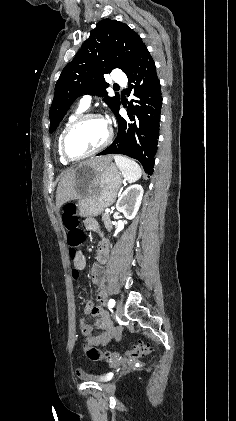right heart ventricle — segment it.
Returning a JSON list of instances; mask_svg holds the SVG:
<instances>
[{
    "instance_id": "right-heart-ventricle-1",
    "label": "right heart ventricle",
    "mask_w": 236,
    "mask_h": 421,
    "mask_svg": "<svg viewBox=\"0 0 236 421\" xmlns=\"http://www.w3.org/2000/svg\"><path fill=\"white\" fill-rule=\"evenodd\" d=\"M81 108H79V109H77V110H75L67 119H66V121H65V123L63 124V126H62V129H61V131H60V133H59V136H58V139H57V150H58V154H59V158H60V161L63 163V164H68L69 163V161H67L64 157H63V155H62V153H61V138H62V135H63V132H64V130L66 129V127L75 119V118H77L79 115H80V113H81Z\"/></svg>"
}]
</instances>
